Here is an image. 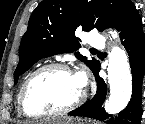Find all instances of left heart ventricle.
Segmentation results:
<instances>
[{
    "label": "left heart ventricle",
    "mask_w": 145,
    "mask_h": 124,
    "mask_svg": "<svg viewBox=\"0 0 145 124\" xmlns=\"http://www.w3.org/2000/svg\"><path fill=\"white\" fill-rule=\"evenodd\" d=\"M81 93L82 87L74 74L49 70L33 83L26 104L33 113L57 110L75 101Z\"/></svg>",
    "instance_id": "obj_1"
}]
</instances>
